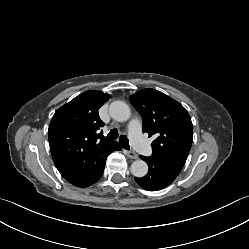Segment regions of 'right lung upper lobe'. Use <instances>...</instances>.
<instances>
[{
    "label": "right lung upper lobe",
    "mask_w": 249,
    "mask_h": 249,
    "mask_svg": "<svg viewBox=\"0 0 249 249\" xmlns=\"http://www.w3.org/2000/svg\"><path fill=\"white\" fill-rule=\"evenodd\" d=\"M109 97L100 91H86L60 107L51 120L48 137L54 163L75 186L84 183L99 157L114 144L97 132L104 125L98 110Z\"/></svg>",
    "instance_id": "1"
}]
</instances>
